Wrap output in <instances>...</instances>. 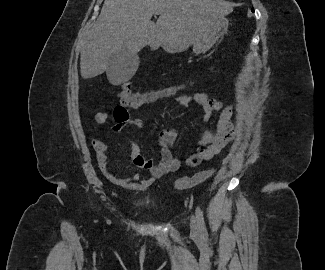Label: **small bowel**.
Returning <instances> with one entry per match:
<instances>
[{"label": "small bowel", "mask_w": 325, "mask_h": 270, "mask_svg": "<svg viewBox=\"0 0 325 270\" xmlns=\"http://www.w3.org/2000/svg\"><path fill=\"white\" fill-rule=\"evenodd\" d=\"M189 86L190 85L187 87ZM134 96H145V94L144 92H139L135 93ZM170 97H175L176 103L183 109L191 108L193 102L200 105L203 111V125H206L215 113L220 112L215 131L206 127H203L201 130L198 147L186 160L189 166H197L202 161L213 159L232 142L234 138V128L231 121L233 115L231 106L224 107L223 102L213 99L203 92H198L193 97L183 93ZM149 104L153 103H117V107L113 109V117L118 122L116 130H120L127 123L136 127H141L143 125L142 120L139 118L131 120L129 111L140 109ZM108 119L109 115L107 113H98L95 117L98 124H103ZM176 139L177 132L173 129L164 130L159 133L158 142L161 147V159L158 163L152 159H147L142 154L136 142L131 139H126L131 150L130 159L135 166L148 171V175L145 177H141L139 173L116 176L108 165L109 145L104 143L101 139H94L93 146L97 153L99 168L111 183L128 190L144 191L163 175L175 172L180 168V160L172 156L169 149L170 146L174 145Z\"/></svg>", "instance_id": "small-bowel-1"}]
</instances>
